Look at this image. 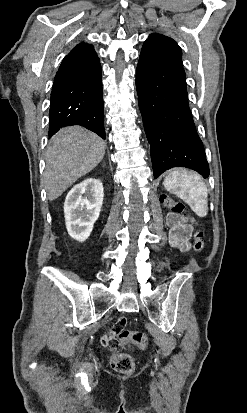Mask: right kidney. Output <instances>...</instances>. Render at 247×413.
I'll return each mask as SVG.
<instances>
[{
    "mask_svg": "<svg viewBox=\"0 0 247 413\" xmlns=\"http://www.w3.org/2000/svg\"><path fill=\"white\" fill-rule=\"evenodd\" d=\"M103 184L98 178H85L69 190L64 202L66 229L76 241H86L103 202Z\"/></svg>",
    "mask_w": 247,
    "mask_h": 413,
    "instance_id": "obj_1",
    "label": "right kidney"
}]
</instances>
